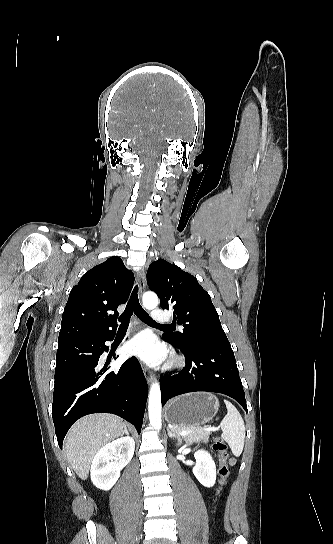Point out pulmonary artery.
<instances>
[{"label":"pulmonary artery","mask_w":333,"mask_h":544,"mask_svg":"<svg viewBox=\"0 0 333 544\" xmlns=\"http://www.w3.org/2000/svg\"><path fill=\"white\" fill-rule=\"evenodd\" d=\"M152 319L157 321V322H159V321H169L170 320L169 316L165 312H163V311H161L159 309H155V310L152 311Z\"/></svg>","instance_id":"e3ab8cb5"}]
</instances>
